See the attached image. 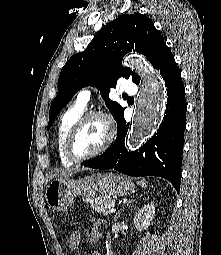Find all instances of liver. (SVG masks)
<instances>
[{
    "mask_svg": "<svg viewBox=\"0 0 221 255\" xmlns=\"http://www.w3.org/2000/svg\"><path fill=\"white\" fill-rule=\"evenodd\" d=\"M78 170L76 169H65V170H58L53 177H65V176H71L75 173H77Z\"/></svg>",
    "mask_w": 221,
    "mask_h": 255,
    "instance_id": "obj_1",
    "label": "liver"
}]
</instances>
